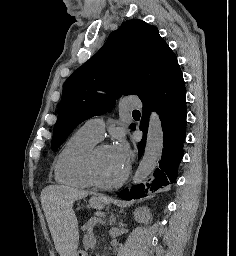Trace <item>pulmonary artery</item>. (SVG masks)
Returning a JSON list of instances; mask_svg holds the SVG:
<instances>
[{
  "label": "pulmonary artery",
  "mask_w": 236,
  "mask_h": 256,
  "mask_svg": "<svg viewBox=\"0 0 236 256\" xmlns=\"http://www.w3.org/2000/svg\"><path fill=\"white\" fill-rule=\"evenodd\" d=\"M124 105L126 109H138V106H142V101H136V96H125ZM80 129L98 142L104 135V119L94 116L86 120Z\"/></svg>",
  "instance_id": "e3ab8cb5"
}]
</instances>
